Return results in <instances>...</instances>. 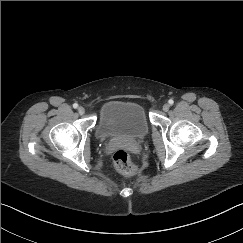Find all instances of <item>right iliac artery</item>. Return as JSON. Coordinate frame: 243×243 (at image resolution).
<instances>
[{
    "mask_svg": "<svg viewBox=\"0 0 243 243\" xmlns=\"http://www.w3.org/2000/svg\"><path fill=\"white\" fill-rule=\"evenodd\" d=\"M73 107H74V108H77V107H78V104H77V103H74V104H73Z\"/></svg>",
    "mask_w": 243,
    "mask_h": 243,
    "instance_id": "obj_1",
    "label": "right iliac artery"
}]
</instances>
